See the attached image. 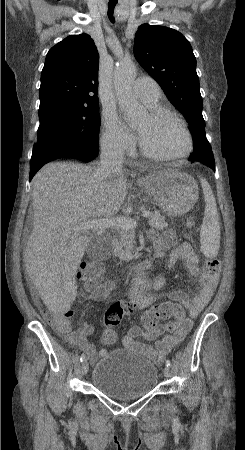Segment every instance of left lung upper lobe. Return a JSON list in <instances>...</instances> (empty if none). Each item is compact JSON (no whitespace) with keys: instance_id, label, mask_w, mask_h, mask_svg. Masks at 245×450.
<instances>
[{"instance_id":"5c2ea615","label":"left lung upper lobe","mask_w":245,"mask_h":450,"mask_svg":"<svg viewBox=\"0 0 245 450\" xmlns=\"http://www.w3.org/2000/svg\"><path fill=\"white\" fill-rule=\"evenodd\" d=\"M134 55L139 64L155 79L169 100L185 116L193 136L194 152L209 147L202 116L203 102L196 73V58L189 41L178 31L143 24L135 35Z\"/></svg>"}]
</instances>
